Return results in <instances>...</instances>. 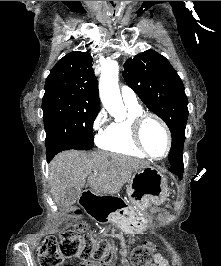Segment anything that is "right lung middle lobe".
<instances>
[{"label": "right lung middle lobe", "instance_id": "dd1d6c3e", "mask_svg": "<svg viewBox=\"0 0 221 266\" xmlns=\"http://www.w3.org/2000/svg\"><path fill=\"white\" fill-rule=\"evenodd\" d=\"M42 110L47 155L93 148V122L99 110L87 108L77 97L60 92L45 93Z\"/></svg>", "mask_w": 221, "mask_h": 266}]
</instances>
